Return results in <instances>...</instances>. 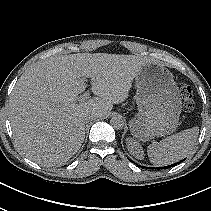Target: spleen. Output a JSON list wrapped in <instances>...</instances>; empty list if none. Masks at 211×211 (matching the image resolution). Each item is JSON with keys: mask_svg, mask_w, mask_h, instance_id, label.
Masks as SVG:
<instances>
[{"mask_svg": "<svg viewBox=\"0 0 211 211\" xmlns=\"http://www.w3.org/2000/svg\"><path fill=\"white\" fill-rule=\"evenodd\" d=\"M199 127L195 126L169 136L148 146L147 154L152 164L165 166L184 159L195 147Z\"/></svg>", "mask_w": 211, "mask_h": 211, "instance_id": "3e777b00", "label": "spleen"}]
</instances>
